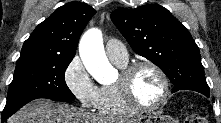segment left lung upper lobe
Here are the masks:
<instances>
[{"mask_svg":"<svg viewBox=\"0 0 221 123\" xmlns=\"http://www.w3.org/2000/svg\"><path fill=\"white\" fill-rule=\"evenodd\" d=\"M111 18L131 48L168 76L174 84L172 92L186 89L209 94L199 48L167 9L159 4L121 8Z\"/></svg>","mask_w":221,"mask_h":123,"instance_id":"1","label":"left lung upper lobe"}]
</instances>
